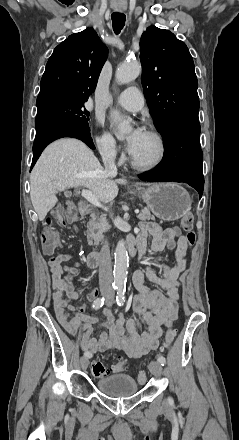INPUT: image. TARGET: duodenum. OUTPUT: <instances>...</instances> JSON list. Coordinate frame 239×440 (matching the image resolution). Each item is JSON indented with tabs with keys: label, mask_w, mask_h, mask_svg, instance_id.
Here are the masks:
<instances>
[{
	"label": "duodenum",
	"mask_w": 239,
	"mask_h": 440,
	"mask_svg": "<svg viewBox=\"0 0 239 440\" xmlns=\"http://www.w3.org/2000/svg\"><path fill=\"white\" fill-rule=\"evenodd\" d=\"M81 215H88L91 211L89 204L86 202H81L79 207ZM128 252L131 256H134L136 253L135 244L133 242H129ZM102 263V254L97 251L91 252L87 257V265L90 268H97Z\"/></svg>",
	"instance_id": "obj_1"
}]
</instances>
